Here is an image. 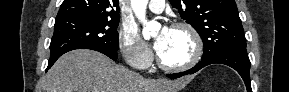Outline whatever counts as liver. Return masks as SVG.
Masks as SVG:
<instances>
[{
	"label": "liver",
	"instance_id": "1",
	"mask_svg": "<svg viewBox=\"0 0 289 92\" xmlns=\"http://www.w3.org/2000/svg\"><path fill=\"white\" fill-rule=\"evenodd\" d=\"M176 81L151 80L116 65L105 55L77 49L62 55L43 79L44 92H167L185 85Z\"/></svg>",
	"mask_w": 289,
	"mask_h": 92
}]
</instances>
